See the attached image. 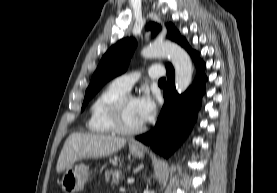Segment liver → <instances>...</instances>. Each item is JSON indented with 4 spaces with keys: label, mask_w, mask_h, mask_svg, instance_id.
Here are the masks:
<instances>
[{
    "label": "liver",
    "mask_w": 277,
    "mask_h": 193,
    "mask_svg": "<svg viewBox=\"0 0 277 193\" xmlns=\"http://www.w3.org/2000/svg\"><path fill=\"white\" fill-rule=\"evenodd\" d=\"M126 144V139L95 133H73L64 143L56 171L61 173L79 160L113 154Z\"/></svg>",
    "instance_id": "6515ba94"
}]
</instances>
